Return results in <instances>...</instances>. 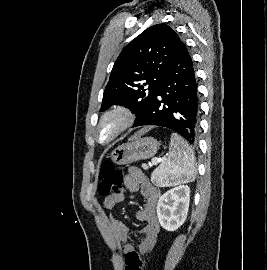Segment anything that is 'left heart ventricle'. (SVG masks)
<instances>
[{
  "label": "left heart ventricle",
  "mask_w": 267,
  "mask_h": 270,
  "mask_svg": "<svg viewBox=\"0 0 267 270\" xmlns=\"http://www.w3.org/2000/svg\"><path fill=\"white\" fill-rule=\"evenodd\" d=\"M119 124H120L119 118H113L104 122V124L102 125L100 129L101 140L105 141L109 139L113 135V133L116 131Z\"/></svg>",
  "instance_id": "left-heart-ventricle-1"
}]
</instances>
